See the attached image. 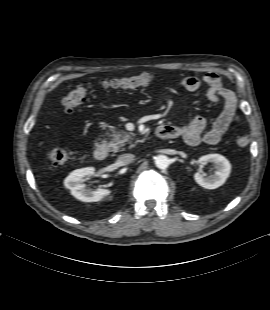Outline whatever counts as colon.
Here are the masks:
<instances>
[{
    "mask_svg": "<svg viewBox=\"0 0 270 310\" xmlns=\"http://www.w3.org/2000/svg\"><path fill=\"white\" fill-rule=\"evenodd\" d=\"M153 80V76L149 73H141L138 75L114 78L111 80L104 81L102 86L105 88L112 89H124L132 90L139 87L146 86L150 84ZM88 87L80 86L75 90L69 92L62 97V105L66 109L77 108L82 105L87 97ZM235 144L240 149H245L250 144V136L247 134L237 135L235 138ZM49 159L52 164L56 166H63L73 159V153L64 148H55L50 151Z\"/></svg>",
    "mask_w": 270,
    "mask_h": 310,
    "instance_id": "5ec220e1",
    "label": "colon"
}]
</instances>
